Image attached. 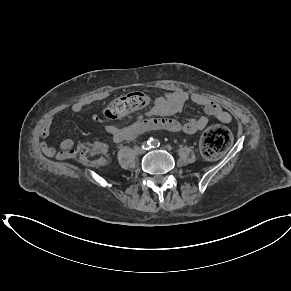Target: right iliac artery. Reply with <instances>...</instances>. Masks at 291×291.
<instances>
[{
    "instance_id": "1",
    "label": "right iliac artery",
    "mask_w": 291,
    "mask_h": 291,
    "mask_svg": "<svg viewBox=\"0 0 291 291\" xmlns=\"http://www.w3.org/2000/svg\"><path fill=\"white\" fill-rule=\"evenodd\" d=\"M142 148L145 149V150H148L151 148V140H148V141H144L142 144H141Z\"/></svg>"
}]
</instances>
